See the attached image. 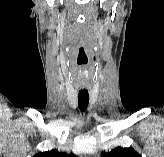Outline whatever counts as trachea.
Here are the masks:
<instances>
[{"label":"trachea","instance_id":"3493384b","mask_svg":"<svg viewBox=\"0 0 164 157\" xmlns=\"http://www.w3.org/2000/svg\"><path fill=\"white\" fill-rule=\"evenodd\" d=\"M89 104V93L87 90H80L78 94V107L81 111H85Z\"/></svg>","mask_w":164,"mask_h":157}]
</instances>
